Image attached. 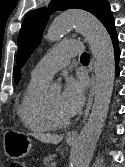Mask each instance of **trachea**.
I'll return each mask as SVG.
<instances>
[{
    "mask_svg": "<svg viewBox=\"0 0 125 167\" xmlns=\"http://www.w3.org/2000/svg\"><path fill=\"white\" fill-rule=\"evenodd\" d=\"M89 60H90V56H89L88 53H83V54L81 55V61H82V62H89Z\"/></svg>",
    "mask_w": 125,
    "mask_h": 167,
    "instance_id": "1",
    "label": "trachea"
}]
</instances>
